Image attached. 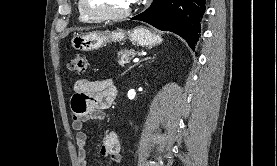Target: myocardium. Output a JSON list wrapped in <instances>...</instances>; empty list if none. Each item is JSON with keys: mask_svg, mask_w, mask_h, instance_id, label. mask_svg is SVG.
Instances as JSON below:
<instances>
[{"mask_svg": "<svg viewBox=\"0 0 277 166\" xmlns=\"http://www.w3.org/2000/svg\"><path fill=\"white\" fill-rule=\"evenodd\" d=\"M136 1L132 4L130 8H128L126 11L122 13H117V14H109V13H98L90 10L87 5L85 0H79V8L80 10L88 17H90L93 20L96 21H120L128 18L131 16V14L134 12L135 7H136Z\"/></svg>", "mask_w": 277, "mask_h": 166, "instance_id": "1", "label": "myocardium"}]
</instances>
